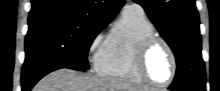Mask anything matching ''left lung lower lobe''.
Returning a JSON list of instances; mask_svg holds the SVG:
<instances>
[{
	"label": "left lung lower lobe",
	"instance_id": "left-lung-lower-lobe-1",
	"mask_svg": "<svg viewBox=\"0 0 220 91\" xmlns=\"http://www.w3.org/2000/svg\"><path fill=\"white\" fill-rule=\"evenodd\" d=\"M171 90V89H170ZM179 91H187V90H179Z\"/></svg>",
	"mask_w": 220,
	"mask_h": 91
}]
</instances>
